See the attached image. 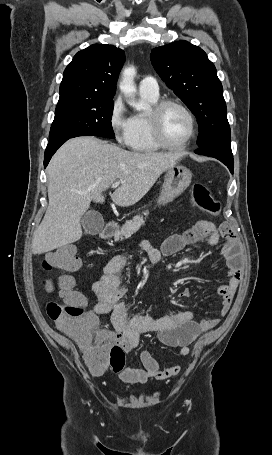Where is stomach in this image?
<instances>
[{
    "label": "stomach",
    "mask_w": 272,
    "mask_h": 455,
    "mask_svg": "<svg viewBox=\"0 0 272 455\" xmlns=\"http://www.w3.org/2000/svg\"><path fill=\"white\" fill-rule=\"evenodd\" d=\"M191 179V171L182 165L168 168L158 203L166 204L173 201L190 185Z\"/></svg>",
    "instance_id": "stomach-1"
}]
</instances>
